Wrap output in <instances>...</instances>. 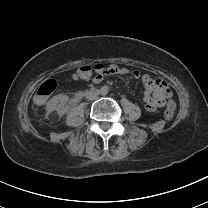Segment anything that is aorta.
Here are the masks:
<instances>
[{"label":"aorta","instance_id":"762f6f07","mask_svg":"<svg viewBox=\"0 0 208 208\" xmlns=\"http://www.w3.org/2000/svg\"><path fill=\"white\" fill-rule=\"evenodd\" d=\"M109 92H110V89L106 85H102L98 90L99 95L102 97L107 96L109 94Z\"/></svg>","mask_w":208,"mask_h":208}]
</instances>
